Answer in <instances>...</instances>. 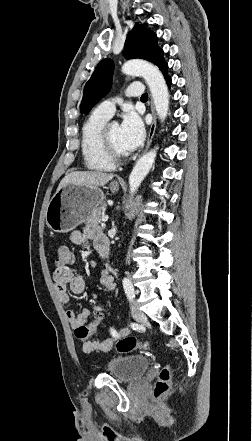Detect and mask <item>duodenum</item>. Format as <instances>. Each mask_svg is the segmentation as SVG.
I'll use <instances>...</instances> for the list:
<instances>
[{
  "label": "duodenum",
  "mask_w": 252,
  "mask_h": 441,
  "mask_svg": "<svg viewBox=\"0 0 252 441\" xmlns=\"http://www.w3.org/2000/svg\"><path fill=\"white\" fill-rule=\"evenodd\" d=\"M98 252L102 257L107 256L109 250V243L107 240H103L101 246L98 247Z\"/></svg>",
  "instance_id": "410a0bca"
}]
</instances>
